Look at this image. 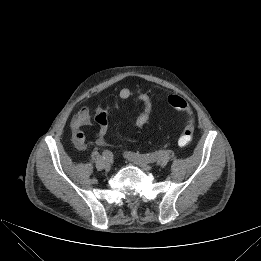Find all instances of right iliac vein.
I'll return each mask as SVG.
<instances>
[{
    "label": "right iliac vein",
    "instance_id": "1",
    "mask_svg": "<svg viewBox=\"0 0 261 261\" xmlns=\"http://www.w3.org/2000/svg\"><path fill=\"white\" fill-rule=\"evenodd\" d=\"M111 168H112L111 162H110V161H105V163H104V169H105L106 171H109Z\"/></svg>",
    "mask_w": 261,
    "mask_h": 261
}]
</instances>
